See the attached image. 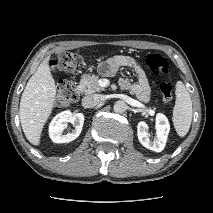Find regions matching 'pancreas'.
Returning <instances> with one entry per match:
<instances>
[{
	"label": "pancreas",
	"mask_w": 213,
	"mask_h": 213,
	"mask_svg": "<svg viewBox=\"0 0 213 213\" xmlns=\"http://www.w3.org/2000/svg\"><path fill=\"white\" fill-rule=\"evenodd\" d=\"M99 77L97 75H83L80 81L79 90L85 94H92L105 90L99 85Z\"/></svg>",
	"instance_id": "obj_1"
}]
</instances>
